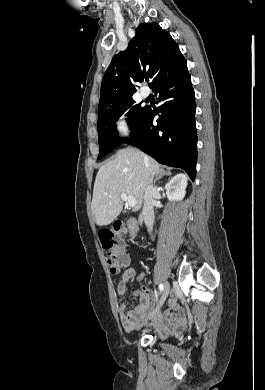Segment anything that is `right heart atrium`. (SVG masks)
<instances>
[{
	"instance_id": "1",
	"label": "right heart atrium",
	"mask_w": 265,
	"mask_h": 390,
	"mask_svg": "<svg viewBox=\"0 0 265 390\" xmlns=\"http://www.w3.org/2000/svg\"><path fill=\"white\" fill-rule=\"evenodd\" d=\"M114 131L118 136L125 137L131 131L130 118L126 114L119 115L114 122Z\"/></svg>"
}]
</instances>
